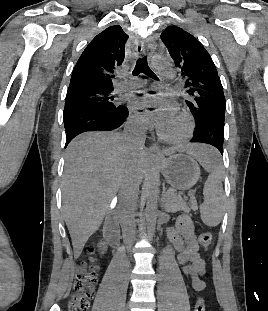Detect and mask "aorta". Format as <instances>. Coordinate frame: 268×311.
Segmentation results:
<instances>
[{"label": "aorta", "instance_id": "aorta-1", "mask_svg": "<svg viewBox=\"0 0 268 311\" xmlns=\"http://www.w3.org/2000/svg\"><path fill=\"white\" fill-rule=\"evenodd\" d=\"M152 64L156 68L163 69L166 66V60L161 55L152 56ZM160 174L157 169L153 170L146 184V222L148 239L151 240L156 229V221L158 217V197L160 193Z\"/></svg>", "mask_w": 268, "mask_h": 311}]
</instances>
